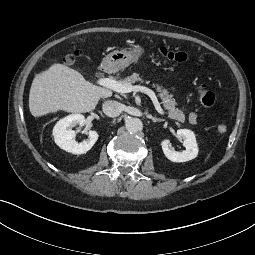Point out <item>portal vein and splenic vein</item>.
Masks as SVG:
<instances>
[{
  "mask_svg": "<svg viewBox=\"0 0 255 255\" xmlns=\"http://www.w3.org/2000/svg\"><path fill=\"white\" fill-rule=\"evenodd\" d=\"M98 84L101 86H104L106 88H109L115 92H118V93H129L132 91L145 93L151 98L158 113L164 114V111L161 108L160 103L158 102L155 93L147 87L140 86V85L133 86L130 84H123L121 82L115 81L110 78H101L98 80Z\"/></svg>",
  "mask_w": 255,
  "mask_h": 255,
  "instance_id": "18ae733b",
  "label": "portal vein and splenic vein"
}]
</instances>
